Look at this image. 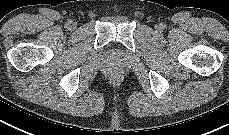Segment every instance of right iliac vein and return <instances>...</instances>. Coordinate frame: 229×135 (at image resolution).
I'll return each instance as SVG.
<instances>
[{
	"label": "right iliac vein",
	"mask_w": 229,
	"mask_h": 135,
	"mask_svg": "<svg viewBox=\"0 0 229 135\" xmlns=\"http://www.w3.org/2000/svg\"><path fill=\"white\" fill-rule=\"evenodd\" d=\"M69 27H70V29H75L76 28V23L75 22H73V21H71L70 22V24H69Z\"/></svg>",
	"instance_id": "1"
}]
</instances>
